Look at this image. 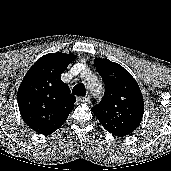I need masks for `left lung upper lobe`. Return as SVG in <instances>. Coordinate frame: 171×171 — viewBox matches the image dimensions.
<instances>
[{"label":"left lung upper lobe","instance_id":"1","mask_svg":"<svg viewBox=\"0 0 171 171\" xmlns=\"http://www.w3.org/2000/svg\"><path fill=\"white\" fill-rule=\"evenodd\" d=\"M105 92L99 103L93 101L92 112L108 131L132 133L142 120L144 103L135 79L119 64L96 58Z\"/></svg>","mask_w":171,"mask_h":171}]
</instances>
